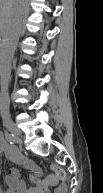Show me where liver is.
<instances>
[{"label":"liver","mask_w":103,"mask_h":193,"mask_svg":"<svg viewBox=\"0 0 103 193\" xmlns=\"http://www.w3.org/2000/svg\"><path fill=\"white\" fill-rule=\"evenodd\" d=\"M22 7V0H0V27L6 37L17 12Z\"/></svg>","instance_id":"liver-1"}]
</instances>
